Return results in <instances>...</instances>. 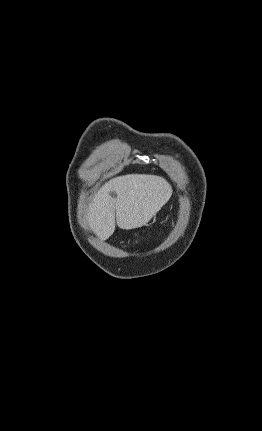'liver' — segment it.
Wrapping results in <instances>:
<instances>
[{
	"label": "liver",
	"mask_w": 262,
	"mask_h": 431,
	"mask_svg": "<svg viewBox=\"0 0 262 431\" xmlns=\"http://www.w3.org/2000/svg\"><path fill=\"white\" fill-rule=\"evenodd\" d=\"M171 195L172 187L162 177L146 174L119 176L95 194L89 206L88 221L95 235L104 241L113 234L116 223L125 230L148 224Z\"/></svg>",
	"instance_id": "1"
}]
</instances>
